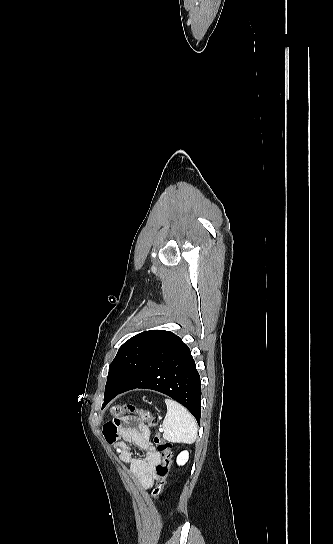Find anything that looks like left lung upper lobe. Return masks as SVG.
<instances>
[{"instance_id": "1", "label": "left lung upper lobe", "mask_w": 333, "mask_h": 544, "mask_svg": "<svg viewBox=\"0 0 333 544\" xmlns=\"http://www.w3.org/2000/svg\"><path fill=\"white\" fill-rule=\"evenodd\" d=\"M175 334L165 330H149L127 340L109 366L105 392L122 389Z\"/></svg>"}]
</instances>
